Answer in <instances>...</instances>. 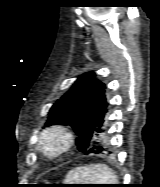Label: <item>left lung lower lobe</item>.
Masks as SVG:
<instances>
[{
    "label": "left lung lower lobe",
    "instance_id": "0a47b994",
    "mask_svg": "<svg viewBox=\"0 0 160 187\" xmlns=\"http://www.w3.org/2000/svg\"><path fill=\"white\" fill-rule=\"evenodd\" d=\"M105 113L106 110L102 116V118L100 119V121L98 122L94 133L90 139L91 141V147L89 148V150H87L85 153H89V152H93V153H101L105 150H108V144L104 141L103 139V133L105 132L104 129V118H105Z\"/></svg>",
    "mask_w": 160,
    "mask_h": 187
}]
</instances>
